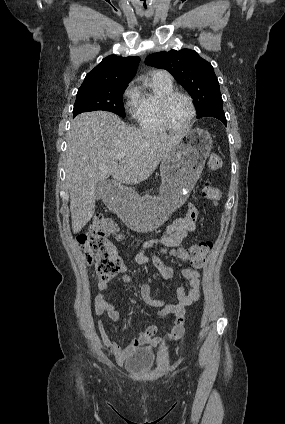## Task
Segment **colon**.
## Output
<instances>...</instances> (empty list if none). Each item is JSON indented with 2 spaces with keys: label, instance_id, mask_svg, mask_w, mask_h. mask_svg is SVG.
<instances>
[{
  "label": "colon",
  "instance_id": "colon-1",
  "mask_svg": "<svg viewBox=\"0 0 285 424\" xmlns=\"http://www.w3.org/2000/svg\"><path fill=\"white\" fill-rule=\"evenodd\" d=\"M222 164V158L216 153H211L207 158L206 166L210 172L219 170ZM202 194L206 200L214 204H217L223 197L222 190L210 183L204 184ZM110 236H120L118 226L111 219L97 215L90 228L77 238L87 263L94 264L100 278L105 280L114 277L123 267V262L118 256L115 246L108 239ZM212 248L213 243L206 241L188 248H181L175 254L182 261H188L194 266H201ZM182 322L183 317L180 316L177 326L180 327Z\"/></svg>",
  "mask_w": 285,
  "mask_h": 424
}]
</instances>
